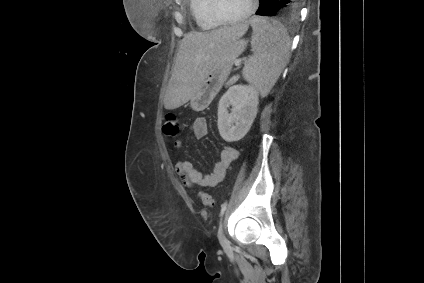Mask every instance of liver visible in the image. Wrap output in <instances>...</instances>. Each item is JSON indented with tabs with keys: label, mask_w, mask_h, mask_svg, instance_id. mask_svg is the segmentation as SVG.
Instances as JSON below:
<instances>
[{
	"label": "liver",
	"mask_w": 424,
	"mask_h": 283,
	"mask_svg": "<svg viewBox=\"0 0 424 283\" xmlns=\"http://www.w3.org/2000/svg\"><path fill=\"white\" fill-rule=\"evenodd\" d=\"M248 27V22H242L208 32L186 34L180 42L164 97V107L176 109L187 103L219 59L225 46L241 38Z\"/></svg>",
	"instance_id": "6515ba94"
}]
</instances>
